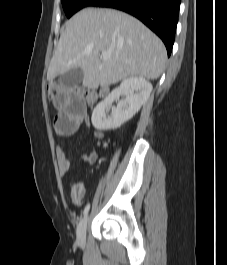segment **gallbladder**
<instances>
[{"instance_id":"obj_1","label":"gallbladder","mask_w":227,"mask_h":265,"mask_svg":"<svg viewBox=\"0 0 227 265\" xmlns=\"http://www.w3.org/2000/svg\"><path fill=\"white\" fill-rule=\"evenodd\" d=\"M83 75V70L81 68H75L62 74L59 78V82L63 86H74L83 80Z\"/></svg>"}]
</instances>
